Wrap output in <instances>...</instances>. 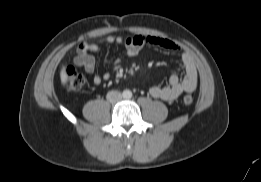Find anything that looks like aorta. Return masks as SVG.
Masks as SVG:
<instances>
[{
  "instance_id": "762f6f07",
  "label": "aorta",
  "mask_w": 261,
  "mask_h": 182,
  "mask_svg": "<svg viewBox=\"0 0 261 182\" xmlns=\"http://www.w3.org/2000/svg\"><path fill=\"white\" fill-rule=\"evenodd\" d=\"M123 97L126 98V99L131 98V97H132V92L129 91V90H125V91L123 92Z\"/></svg>"
}]
</instances>
